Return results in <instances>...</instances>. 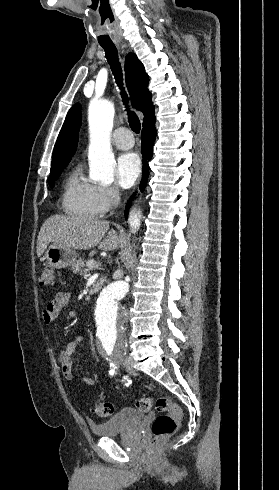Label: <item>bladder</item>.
I'll list each match as a JSON object with an SVG mask.
<instances>
[{
  "instance_id": "1",
  "label": "bladder",
  "mask_w": 279,
  "mask_h": 490,
  "mask_svg": "<svg viewBox=\"0 0 279 490\" xmlns=\"http://www.w3.org/2000/svg\"><path fill=\"white\" fill-rule=\"evenodd\" d=\"M145 413L135 407H123L116 415L91 425L93 436L99 438L112 437L121 432H131L143 421Z\"/></svg>"
}]
</instances>
